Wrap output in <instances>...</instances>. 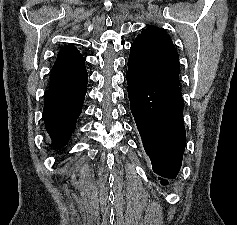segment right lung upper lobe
<instances>
[{
    "label": "right lung upper lobe",
    "instance_id": "obj_1",
    "mask_svg": "<svg viewBox=\"0 0 237 225\" xmlns=\"http://www.w3.org/2000/svg\"><path fill=\"white\" fill-rule=\"evenodd\" d=\"M87 79L84 58L80 52L72 45L63 47L53 66L49 87H75Z\"/></svg>",
    "mask_w": 237,
    "mask_h": 225
}]
</instances>
